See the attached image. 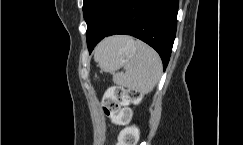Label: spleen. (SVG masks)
Returning a JSON list of instances; mask_svg holds the SVG:
<instances>
[{
    "label": "spleen",
    "mask_w": 243,
    "mask_h": 145,
    "mask_svg": "<svg viewBox=\"0 0 243 145\" xmlns=\"http://www.w3.org/2000/svg\"><path fill=\"white\" fill-rule=\"evenodd\" d=\"M136 53L123 66V72L113 75V82L141 94L151 92L162 74L158 53L142 41L135 42Z\"/></svg>",
    "instance_id": "1"
}]
</instances>
